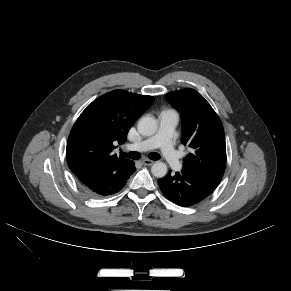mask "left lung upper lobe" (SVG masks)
<instances>
[{
    "label": "left lung upper lobe",
    "instance_id": "left-lung-upper-lobe-1",
    "mask_svg": "<svg viewBox=\"0 0 291 291\" xmlns=\"http://www.w3.org/2000/svg\"><path fill=\"white\" fill-rule=\"evenodd\" d=\"M167 100L182 117V144L192 149L183 169L220 183L226 166L224 129L210 104L194 89L170 92Z\"/></svg>",
    "mask_w": 291,
    "mask_h": 291
}]
</instances>
